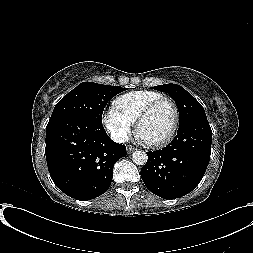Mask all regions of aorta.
<instances>
[{
    "label": "aorta",
    "instance_id": "obj_1",
    "mask_svg": "<svg viewBox=\"0 0 253 253\" xmlns=\"http://www.w3.org/2000/svg\"><path fill=\"white\" fill-rule=\"evenodd\" d=\"M148 159V156L146 154V152L141 151V150H137L134 151V153L132 154V160L135 164L143 166L146 164Z\"/></svg>",
    "mask_w": 253,
    "mask_h": 253
}]
</instances>
